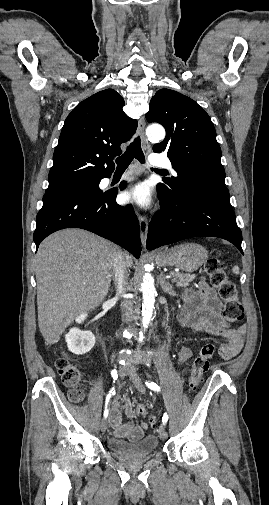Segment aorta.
Here are the masks:
<instances>
[{
    "instance_id": "762f6f07",
    "label": "aorta",
    "mask_w": 269,
    "mask_h": 505,
    "mask_svg": "<svg viewBox=\"0 0 269 505\" xmlns=\"http://www.w3.org/2000/svg\"><path fill=\"white\" fill-rule=\"evenodd\" d=\"M146 135L152 141H162L165 138V130L161 125H150L146 129ZM141 292L143 295L142 325L144 328H147L153 315L156 296L154 278L149 269H146V273L143 276Z\"/></svg>"
}]
</instances>
